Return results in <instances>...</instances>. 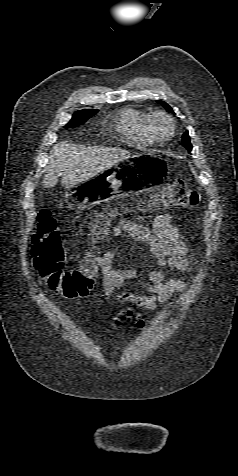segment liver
Masks as SVG:
<instances>
[{
    "mask_svg": "<svg viewBox=\"0 0 238 476\" xmlns=\"http://www.w3.org/2000/svg\"><path fill=\"white\" fill-rule=\"evenodd\" d=\"M129 156L128 151L120 148H85L68 141H61L51 149L42 185L44 188L53 187L58 183V178L63 175L62 185L65 188H71Z\"/></svg>",
    "mask_w": 238,
    "mask_h": 476,
    "instance_id": "liver-1",
    "label": "liver"
}]
</instances>
